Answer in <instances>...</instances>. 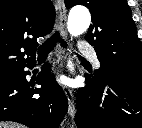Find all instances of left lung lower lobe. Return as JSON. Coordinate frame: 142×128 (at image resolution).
Masks as SVG:
<instances>
[{"label":"left lung lower lobe","mask_w":142,"mask_h":128,"mask_svg":"<svg viewBox=\"0 0 142 128\" xmlns=\"http://www.w3.org/2000/svg\"><path fill=\"white\" fill-rule=\"evenodd\" d=\"M77 97V128H142V80L84 74Z\"/></svg>","instance_id":"obj_1"}]
</instances>
